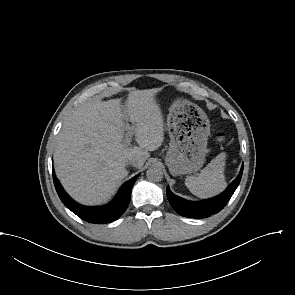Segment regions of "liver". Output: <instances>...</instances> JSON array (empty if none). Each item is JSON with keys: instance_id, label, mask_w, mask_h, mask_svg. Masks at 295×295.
<instances>
[{"instance_id": "1", "label": "liver", "mask_w": 295, "mask_h": 295, "mask_svg": "<svg viewBox=\"0 0 295 295\" xmlns=\"http://www.w3.org/2000/svg\"><path fill=\"white\" fill-rule=\"evenodd\" d=\"M158 89L134 90L121 99L96 100L80 106L66 119L54 152L56 175L64 189L85 205L106 202L128 175L130 154L140 168L164 140V119L155 95ZM130 121L139 146L123 143Z\"/></svg>"}]
</instances>
